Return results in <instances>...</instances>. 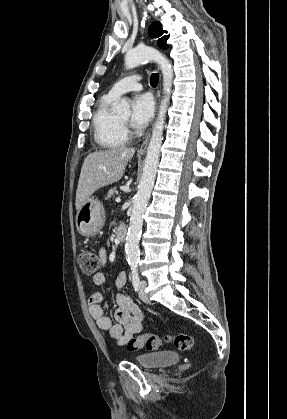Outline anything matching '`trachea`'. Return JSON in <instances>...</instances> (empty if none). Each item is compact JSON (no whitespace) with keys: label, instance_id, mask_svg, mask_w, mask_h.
Instances as JSON below:
<instances>
[{"label":"trachea","instance_id":"obj_1","mask_svg":"<svg viewBox=\"0 0 287 419\" xmlns=\"http://www.w3.org/2000/svg\"><path fill=\"white\" fill-rule=\"evenodd\" d=\"M159 82V75L157 73H153L150 77V84L151 86L156 87Z\"/></svg>","mask_w":287,"mask_h":419}]
</instances>
